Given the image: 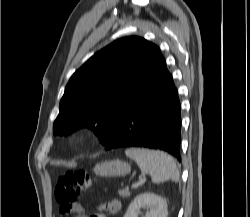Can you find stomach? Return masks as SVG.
Masks as SVG:
<instances>
[{
    "label": "stomach",
    "mask_w": 250,
    "mask_h": 217,
    "mask_svg": "<svg viewBox=\"0 0 250 217\" xmlns=\"http://www.w3.org/2000/svg\"><path fill=\"white\" fill-rule=\"evenodd\" d=\"M131 167L121 160L105 161L96 164L94 172L103 177H120L129 174Z\"/></svg>",
    "instance_id": "1"
}]
</instances>
